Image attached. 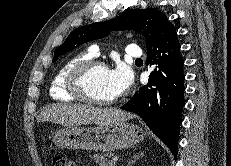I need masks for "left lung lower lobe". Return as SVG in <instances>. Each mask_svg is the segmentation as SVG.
Returning <instances> with one entry per match:
<instances>
[{"label":"left lung lower lobe","instance_id":"obj_1","mask_svg":"<svg viewBox=\"0 0 231 166\" xmlns=\"http://www.w3.org/2000/svg\"><path fill=\"white\" fill-rule=\"evenodd\" d=\"M148 51L147 65H156L148 84L121 109L139 115L147 126L177 154L184 103L183 57L174 27Z\"/></svg>","mask_w":231,"mask_h":166}]
</instances>
